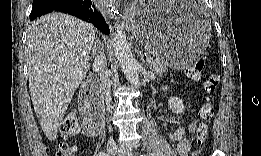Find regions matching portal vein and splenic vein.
<instances>
[{
    "label": "portal vein and splenic vein",
    "instance_id": "portal-vein-and-splenic-vein-1",
    "mask_svg": "<svg viewBox=\"0 0 261 156\" xmlns=\"http://www.w3.org/2000/svg\"><path fill=\"white\" fill-rule=\"evenodd\" d=\"M153 60H154V58L151 56L146 57V62H148V63H151Z\"/></svg>",
    "mask_w": 261,
    "mask_h": 156
}]
</instances>
